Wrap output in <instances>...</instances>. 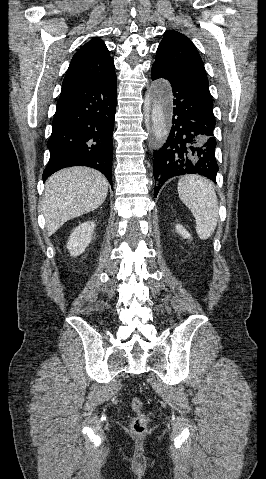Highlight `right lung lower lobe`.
Listing matches in <instances>:
<instances>
[{"label":"right lung lower lobe","mask_w":266,"mask_h":479,"mask_svg":"<svg viewBox=\"0 0 266 479\" xmlns=\"http://www.w3.org/2000/svg\"><path fill=\"white\" fill-rule=\"evenodd\" d=\"M117 78L62 88L47 142L50 159L45 181L70 166H88L102 172L112 186L114 117Z\"/></svg>","instance_id":"98d812e1"}]
</instances>
